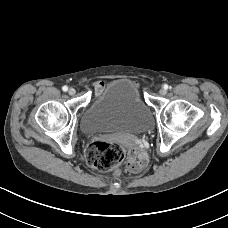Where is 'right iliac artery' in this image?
<instances>
[{
	"instance_id": "right-iliac-artery-1",
	"label": "right iliac artery",
	"mask_w": 228,
	"mask_h": 228,
	"mask_svg": "<svg viewBox=\"0 0 228 228\" xmlns=\"http://www.w3.org/2000/svg\"><path fill=\"white\" fill-rule=\"evenodd\" d=\"M62 90H63L64 92H66V91L68 90V87H67V86H63V87H62Z\"/></svg>"
}]
</instances>
